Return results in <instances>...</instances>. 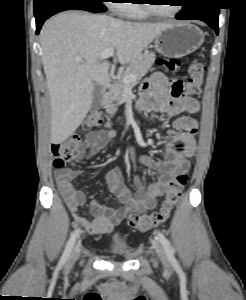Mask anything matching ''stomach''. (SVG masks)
I'll use <instances>...</instances> for the list:
<instances>
[{
    "instance_id": "0dacf381",
    "label": "stomach",
    "mask_w": 246,
    "mask_h": 300,
    "mask_svg": "<svg viewBox=\"0 0 246 300\" xmlns=\"http://www.w3.org/2000/svg\"><path fill=\"white\" fill-rule=\"evenodd\" d=\"M204 42L202 30L190 22H177L166 27L154 42L165 57L180 58L196 51Z\"/></svg>"
}]
</instances>
